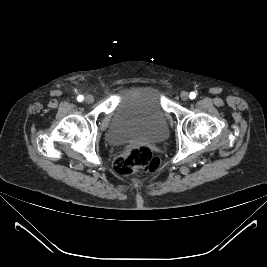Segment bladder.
Instances as JSON below:
<instances>
[{
  "label": "bladder",
  "instance_id": "obj_1",
  "mask_svg": "<svg viewBox=\"0 0 267 267\" xmlns=\"http://www.w3.org/2000/svg\"><path fill=\"white\" fill-rule=\"evenodd\" d=\"M168 134L161 93L150 84L124 88L113 111L106 139L113 144L132 140L161 141Z\"/></svg>",
  "mask_w": 267,
  "mask_h": 267
}]
</instances>
